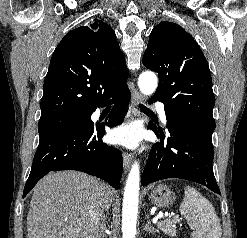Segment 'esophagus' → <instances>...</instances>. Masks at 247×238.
I'll return each instance as SVG.
<instances>
[{
  "instance_id": "34e87169",
  "label": "esophagus",
  "mask_w": 247,
  "mask_h": 238,
  "mask_svg": "<svg viewBox=\"0 0 247 238\" xmlns=\"http://www.w3.org/2000/svg\"><path fill=\"white\" fill-rule=\"evenodd\" d=\"M143 100L142 94L134 89L131 95V100H130V116L133 117L134 115L137 114V104ZM132 162L131 155L128 153H123V167L125 173L129 170L130 165Z\"/></svg>"
}]
</instances>
